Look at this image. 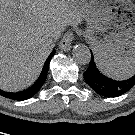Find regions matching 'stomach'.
Listing matches in <instances>:
<instances>
[{"mask_svg": "<svg viewBox=\"0 0 135 135\" xmlns=\"http://www.w3.org/2000/svg\"><path fill=\"white\" fill-rule=\"evenodd\" d=\"M87 21L86 37L96 57L135 55V4L131 0H68Z\"/></svg>", "mask_w": 135, "mask_h": 135, "instance_id": "stomach-1", "label": "stomach"}]
</instances>
